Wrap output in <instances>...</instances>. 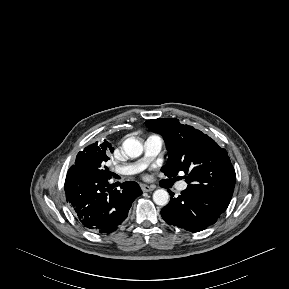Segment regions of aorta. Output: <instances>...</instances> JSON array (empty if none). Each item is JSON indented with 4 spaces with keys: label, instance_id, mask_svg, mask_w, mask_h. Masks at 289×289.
Instances as JSON below:
<instances>
[{
    "label": "aorta",
    "instance_id": "762f6f07",
    "mask_svg": "<svg viewBox=\"0 0 289 289\" xmlns=\"http://www.w3.org/2000/svg\"><path fill=\"white\" fill-rule=\"evenodd\" d=\"M122 148L126 155L131 158L139 157L142 154L143 146L141 142L135 138H127L123 144ZM153 200L159 206H165L169 202V194L164 189H158L153 193Z\"/></svg>",
    "mask_w": 289,
    "mask_h": 289
}]
</instances>
